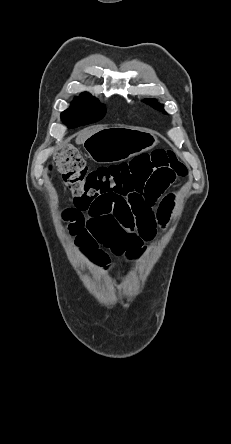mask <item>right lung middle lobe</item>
<instances>
[{"instance_id":"dd1d6c3e","label":"right lung middle lobe","mask_w":231,"mask_h":444,"mask_svg":"<svg viewBox=\"0 0 231 444\" xmlns=\"http://www.w3.org/2000/svg\"><path fill=\"white\" fill-rule=\"evenodd\" d=\"M105 107L99 101L89 95H80L74 99L70 108L62 112V121L75 128L81 125L97 122L104 116Z\"/></svg>"}]
</instances>
